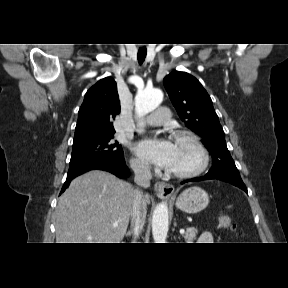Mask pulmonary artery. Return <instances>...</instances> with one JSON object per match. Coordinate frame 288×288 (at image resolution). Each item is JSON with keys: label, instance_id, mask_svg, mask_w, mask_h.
I'll return each mask as SVG.
<instances>
[{"label": "pulmonary artery", "instance_id": "pulmonary-artery-1", "mask_svg": "<svg viewBox=\"0 0 288 288\" xmlns=\"http://www.w3.org/2000/svg\"><path fill=\"white\" fill-rule=\"evenodd\" d=\"M170 119V111L167 107H159L155 112L147 118V125L149 127H161L165 125Z\"/></svg>", "mask_w": 288, "mask_h": 288}]
</instances>
